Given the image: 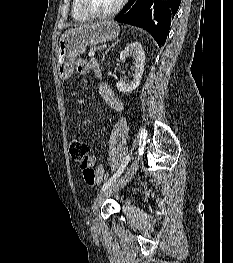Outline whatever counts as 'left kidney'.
<instances>
[{
    "mask_svg": "<svg viewBox=\"0 0 233 263\" xmlns=\"http://www.w3.org/2000/svg\"><path fill=\"white\" fill-rule=\"evenodd\" d=\"M128 57L135 59L133 67V80L129 83L119 81L116 87L119 92L129 93L135 90L139 85L144 72L145 52L139 42H132L128 44L125 49L120 53L121 61H126Z\"/></svg>",
    "mask_w": 233,
    "mask_h": 263,
    "instance_id": "5707ae66",
    "label": "left kidney"
}]
</instances>
